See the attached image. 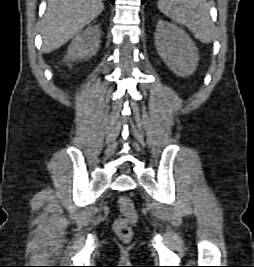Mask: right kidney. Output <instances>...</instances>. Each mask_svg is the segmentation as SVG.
Segmentation results:
<instances>
[{"instance_id": "1", "label": "right kidney", "mask_w": 254, "mask_h": 267, "mask_svg": "<svg viewBox=\"0 0 254 267\" xmlns=\"http://www.w3.org/2000/svg\"><path fill=\"white\" fill-rule=\"evenodd\" d=\"M101 30L91 26L78 34L68 46V53L64 57L66 62L88 59L95 55L100 45Z\"/></svg>"}]
</instances>
